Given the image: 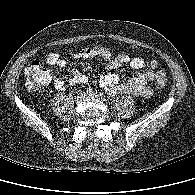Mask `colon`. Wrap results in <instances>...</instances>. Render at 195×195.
Instances as JSON below:
<instances>
[{
  "label": "colon",
  "instance_id": "colon-1",
  "mask_svg": "<svg viewBox=\"0 0 195 195\" xmlns=\"http://www.w3.org/2000/svg\"><path fill=\"white\" fill-rule=\"evenodd\" d=\"M104 49V48H102ZM48 63L53 64V59L48 57ZM26 86L31 91H36L47 84L52 77V71L42 66L39 61H31L25 68ZM166 74L160 75L156 80V87L162 88L167 84Z\"/></svg>",
  "mask_w": 195,
  "mask_h": 195
}]
</instances>
